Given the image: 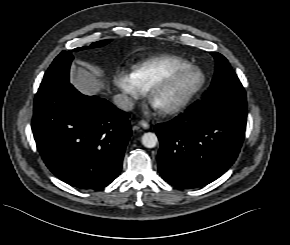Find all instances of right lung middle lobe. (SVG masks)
<instances>
[{"label": "right lung middle lobe", "instance_id": "dd1d6c3e", "mask_svg": "<svg viewBox=\"0 0 290 245\" xmlns=\"http://www.w3.org/2000/svg\"><path fill=\"white\" fill-rule=\"evenodd\" d=\"M111 40H101L92 43L91 48L101 47ZM86 47L76 48L74 51L85 49ZM73 56L69 51H62L46 71L38 91L51 89L69 81V69Z\"/></svg>", "mask_w": 290, "mask_h": 245}]
</instances>
